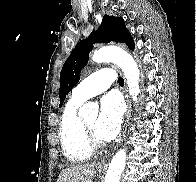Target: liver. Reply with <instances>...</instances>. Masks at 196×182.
<instances>
[{
    "label": "liver",
    "instance_id": "6515ba94",
    "mask_svg": "<svg viewBox=\"0 0 196 182\" xmlns=\"http://www.w3.org/2000/svg\"><path fill=\"white\" fill-rule=\"evenodd\" d=\"M95 163L79 164L63 169L57 182H92Z\"/></svg>",
    "mask_w": 196,
    "mask_h": 182
}]
</instances>
